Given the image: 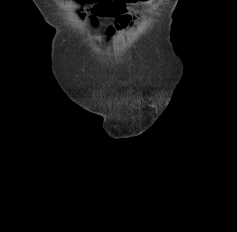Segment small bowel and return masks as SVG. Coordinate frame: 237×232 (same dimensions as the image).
<instances>
[{
  "label": "small bowel",
  "instance_id": "1",
  "mask_svg": "<svg viewBox=\"0 0 237 232\" xmlns=\"http://www.w3.org/2000/svg\"><path fill=\"white\" fill-rule=\"evenodd\" d=\"M142 1H146V0H142ZM128 21H129L128 17H125V16L119 17L117 21L115 22V24L111 25L108 28V34H112L116 28H121L125 26L128 23Z\"/></svg>",
  "mask_w": 237,
  "mask_h": 232
}]
</instances>
